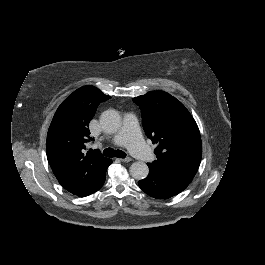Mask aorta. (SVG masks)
<instances>
[{"label":"aorta","instance_id":"762f6f07","mask_svg":"<svg viewBox=\"0 0 265 265\" xmlns=\"http://www.w3.org/2000/svg\"><path fill=\"white\" fill-rule=\"evenodd\" d=\"M100 124L106 132H115L121 124V117L117 110L108 109L102 112ZM149 168L144 162H134L130 166V174L136 180H142L147 177Z\"/></svg>","mask_w":265,"mask_h":265}]
</instances>
